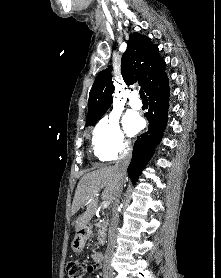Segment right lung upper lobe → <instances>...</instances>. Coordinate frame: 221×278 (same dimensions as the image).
Instances as JSON below:
<instances>
[{
  "mask_svg": "<svg viewBox=\"0 0 221 278\" xmlns=\"http://www.w3.org/2000/svg\"><path fill=\"white\" fill-rule=\"evenodd\" d=\"M112 67L102 70L89 93L87 124H96L112 103ZM121 73L127 85L139 82L146 89L165 73V62L150 39L137 32L129 35L121 59Z\"/></svg>",
  "mask_w": 221,
  "mask_h": 278,
  "instance_id": "cb5924a9",
  "label": "right lung upper lobe"
}]
</instances>
